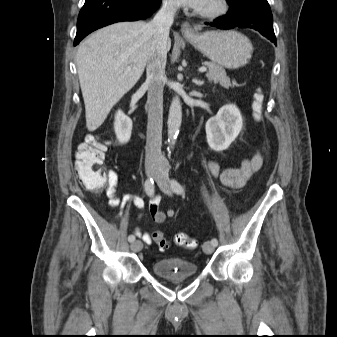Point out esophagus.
<instances>
[{
  "label": "esophagus",
  "mask_w": 337,
  "mask_h": 337,
  "mask_svg": "<svg viewBox=\"0 0 337 337\" xmlns=\"http://www.w3.org/2000/svg\"><path fill=\"white\" fill-rule=\"evenodd\" d=\"M181 32L184 36L194 35V29L188 22H184L181 26Z\"/></svg>",
  "instance_id": "34e87169"
}]
</instances>
